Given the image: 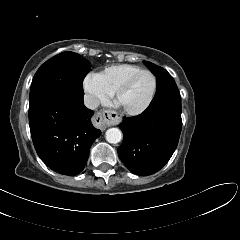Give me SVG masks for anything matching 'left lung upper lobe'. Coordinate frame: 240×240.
<instances>
[{"label": "left lung upper lobe", "mask_w": 240, "mask_h": 240, "mask_svg": "<svg viewBox=\"0 0 240 240\" xmlns=\"http://www.w3.org/2000/svg\"><path fill=\"white\" fill-rule=\"evenodd\" d=\"M145 64L153 72L157 80L156 94L151 103L164 100H181L179 90L172 76L165 69L151 62H145Z\"/></svg>", "instance_id": "left-lung-upper-lobe-1"}]
</instances>
